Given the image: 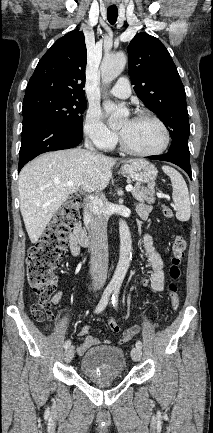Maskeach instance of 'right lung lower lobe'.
Wrapping results in <instances>:
<instances>
[{
    "label": "right lung lower lobe",
    "mask_w": 213,
    "mask_h": 433,
    "mask_svg": "<svg viewBox=\"0 0 213 433\" xmlns=\"http://www.w3.org/2000/svg\"><path fill=\"white\" fill-rule=\"evenodd\" d=\"M82 139V134L72 132L49 118L38 114L24 115L18 172L36 156L48 151L73 148Z\"/></svg>",
    "instance_id": "right-lung-lower-lobe-1"
}]
</instances>
